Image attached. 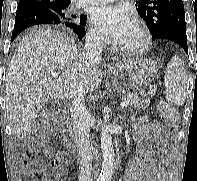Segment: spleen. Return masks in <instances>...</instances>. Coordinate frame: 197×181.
<instances>
[{"label": "spleen", "mask_w": 197, "mask_h": 181, "mask_svg": "<svg viewBox=\"0 0 197 181\" xmlns=\"http://www.w3.org/2000/svg\"><path fill=\"white\" fill-rule=\"evenodd\" d=\"M164 82L167 102L174 106L183 105L187 96V74L183 62L177 55L167 64Z\"/></svg>", "instance_id": "3e777b00"}]
</instances>
